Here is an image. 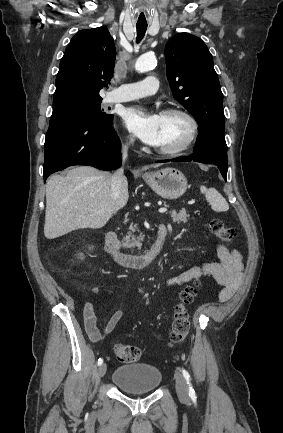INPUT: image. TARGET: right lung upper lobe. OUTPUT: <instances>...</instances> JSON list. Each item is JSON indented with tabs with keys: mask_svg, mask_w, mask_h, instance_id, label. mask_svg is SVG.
I'll return each instance as SVG.
<instances>
[{
	"mask_svg": "<svg viewBox=\"0 0 283 433\" xmlns=\"http://www.w3.org/2000/svg\"><path fill=\"white\" fill-rule=\"evenodd\" d=\"M115 58L114 40L107 27L76 33L60 62L53 113L102 101L99 91L113 76Z\"/></svg>",
	"mask_w": 283,
	"mask_h": 433,
	"instance_id": "1",
	"label": "right lung upper lobe"
}]
</instances>
